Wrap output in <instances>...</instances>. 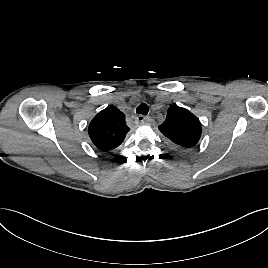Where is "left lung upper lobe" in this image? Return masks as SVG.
<instances>
[{
	"label": "left lung upper lobe",
	"instance_id": "left-lung-upper-lobe-1",
	"mask_svg": "<svg viewBox=\"0 0 268 268\" xmlns=\"http://www.w3.org/2000/svg\"><path fill=\"white\" fill-rule=\"evenodd\" d=\"M158 129L175 145L185 149L195 147L202 132L197 117L177 105L169 107L166 119Z\"/></svg>",
	"mask_w": 268,
	"mask_h": 268
}]
</instances>
